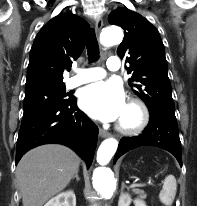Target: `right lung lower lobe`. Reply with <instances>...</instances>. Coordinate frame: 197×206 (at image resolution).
<instances>
[{
    "instance_id": "obj_1",
    "label": "right lung lower lobe",
    "mask_w": 197,
    "mask_h": 206,
    "mask_svg": "<svg viewBox=\"0 0 197 206\" xmlns=\"http://www.w3.org/2000/svg\"><path fill=\"white\" fill-rule=\"evenodd\" d=\"M97 126L77 108L76 98L22 118L17 139L16 164L30 149L48 143L72 148L89 168L97 144Z\"/></svg>"
}]
</instances>
